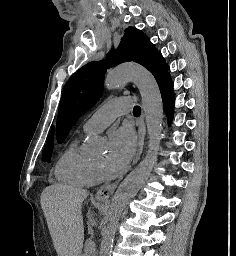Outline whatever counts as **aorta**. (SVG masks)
I'll return each mask as SVG.
<instances>
[{
  "instance_id": "aorta-1",
  "label": "aorta",
  "mask_w": 236,
  "mask_h": 256,
  "mask_svg": "<svg viewBox=\"0 0 236 256\" xmlns=\"http://www.w3.org/2000/svg\"><path fill=\"white\" fill-rule=\"evenodd\" d=\"M128 81H132L137 86L142 97L149 137L148 151L145 158L120 184L112 198L109 223L102 233L99 256H111L113 241L122 212L148 180L156 165L160 135L163 129V104L160 89L155 78L147 69L135 64L118 66L107 74L104 86L106 89L112 90ZM92 144L95 148L100 146L98 141H93Z\"/></svg>"
}]
</instances>
